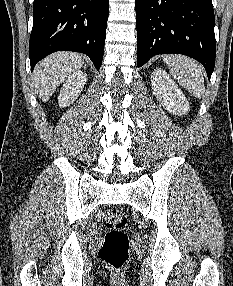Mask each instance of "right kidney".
Here are the masks:
<instances>
[{
	"label": "right kidney",
	"instance_id": "right-kidney-1",
	"mask_svg": "<svg viewBox=\"0 0 233 286\" xmlns=\"http://www.w3.org/2000/svg\"><path fill=\"white\" fill-rule=\"evenodd\" d=\"M86 76V73L76 71L65 81L58 96L60 108L69 106L78 98L86 83Z\"/></svg>",
	"mask_w": 233,
	"mask_h": 286
}]
</instances>
